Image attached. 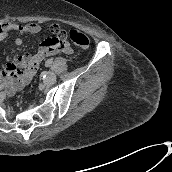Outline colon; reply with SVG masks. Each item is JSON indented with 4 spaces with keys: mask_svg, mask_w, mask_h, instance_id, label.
<instances>
[{
    "mask_svg": "<svg viewBox=\"0 0 172 172\" xmlns=\"http://www.w3.org/2000/svg\"><path fill=\"white\" fill-rule=\"evenodd\" d=\"M54 33H56L58 35V37L52 39L53 43L58 44V45H62L63 44V34L60 33L56 29L54 30ZM69 37L75 44H77L83 48L87 47L89 44L88 38L76 30L70 31Z\"/></svg>",
    "mask_w": 172,
    "mask_h": 172,
    "instance_id": "colon-1",
    "label": "colon"
}]
</instances>
